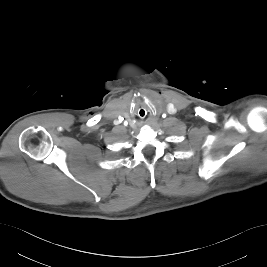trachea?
<instances>
[{
	"mask_svg": "<svg viewBox=\"0 0 267 267\" xmlns=\"http://www.w3.org/2000/svg\"><path fill=\"white\" fill-rule=\"evenodd\" d=\"M137 115L140 119H145L147 117L146 111L143 108L138 110Z\"/></svg>",
	"mask_w": 267,
	"mask_h": 267,
	"instance_id": "1",
	"label": "trachea"
}]
</instances>
